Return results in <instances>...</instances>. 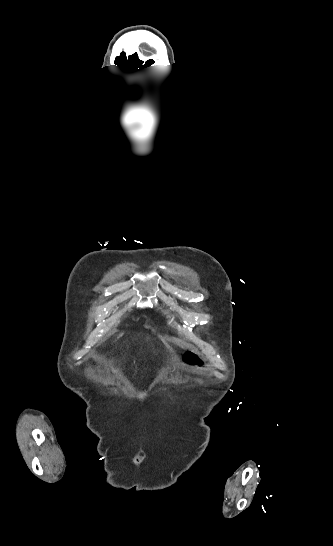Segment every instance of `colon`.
Returning a JSON list of instances; mask_svg holds the SVG:
<instances>
[{"label": "colon", "mask_w": 333, "mask_h": 546, "mask_svg": "<svg viewBox=\"0 0 333 546\" xmlns=\"http://www.w3.org/2000/svg\"><path fill=\"white\" fill-rule=\"evenodd\" d=\"M184 360L186 364L191 367H200L203 365L202 358L199 356V354L193 351H187L184 355Z\"/></svg>", "instance_id": "1"}]
</instances>
